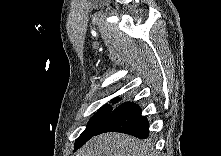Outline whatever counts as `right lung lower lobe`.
<instances>
[{
    "mask_svg": "<svg viewBox=\"0 0 221 156\" xmlns=\"http://www.w3.org/2000/svg\"><path fill=\"white\" fill-rule=\"evenodd\" d=\"M112 131L146 139L149 135V123L147 118L142 116L138 105L125 102L110 113L95 135Z\"/></svg>",
    "mask_w": 221,
    "mask_h": 156,
    "instance_id": "obj_1",
    "label": "right lung lower lobe"
}]
</instances>
